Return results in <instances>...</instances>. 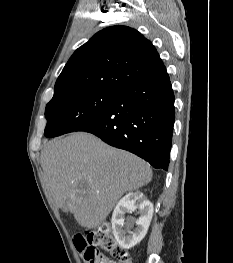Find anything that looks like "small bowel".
<instances>
[{
    "label": "small bowel",
    "mask_w": 233,
    "mask_h": 263,
    "mask_svg": "<svg viewBox=\"0 0 233 263\" xmlns=\"http://www.w3.org/2000/svg\"><path fill=\"white\" fill-rule=\"evenodd\" d=\"M107 263H116L114 260L109 259Z\"/></svg>",
    "instance_id": "c3829d8e"
}]
</instances>
